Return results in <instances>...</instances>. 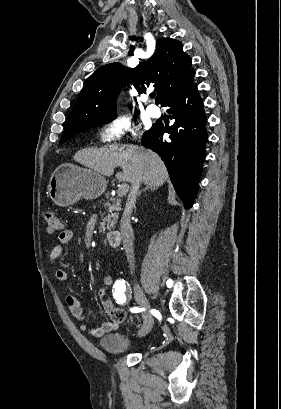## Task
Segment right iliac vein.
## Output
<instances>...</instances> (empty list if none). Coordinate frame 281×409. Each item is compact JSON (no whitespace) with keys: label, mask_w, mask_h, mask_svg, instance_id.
Masks as SVG:
<instances>
[{"label":"right iliac vein","mask_w":281,"mask_h":409,"mask_svg":"<svg viewBox=\"0 0 281 409\" xmlns=\"http://www.w3.org/2000/svg\"><path fill=\"white\" fill-rule=\"evenodd\" d=\"M134 295L136 302L139 304L140 307L144 309H150V303L147 299L146 295L144 294L142 288L139 284H134ZM153 326V317L150 313L144 314V324L142 328L139 330V336H145Z\"/></svg>","instance_id":"63e3f726"}]
</instances>
